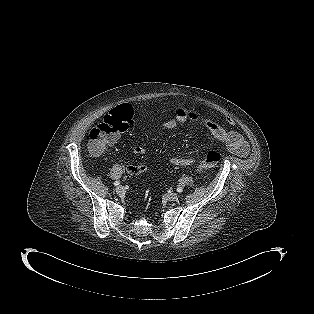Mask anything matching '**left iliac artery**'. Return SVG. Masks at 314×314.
<instances>
[{"instance_id": "obj_1", "label": "left iliac artery", "mask_w": 314, "mask_h": 314, "mask_svg": "<svg viewBox=\"0 0 314 314\" xmlns=\"http://www.w3.org/2000/svg\"><path fill=\"white\" fill-rule=\"evenodd\" d=\"M177 192H179V193L183 192V188L182 187H178L177 188Z\"/></svg>"}]
</instances>
